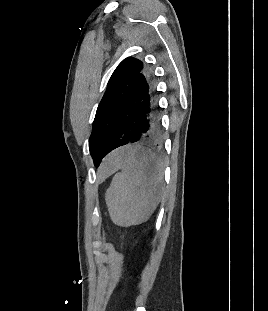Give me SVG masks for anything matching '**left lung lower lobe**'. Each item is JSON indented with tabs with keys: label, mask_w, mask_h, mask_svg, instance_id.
<instances>
[{
	"label": "left lung lower lobe",
	"mask_w": 268,
	"mask_h": 311,
	"mask_svg": "<svg viewBox=\"0 0 268 311\" xmlns=\"http://www.w3.org/2000/svg\"><path fill=\"white\" fill-rule=\"evenodd\" d=\"M122 116L124 124L122 122L111 137L104 157L125 144L162 141L155 79L147 66L139 73L130 93V102L124 107Z\"/></svg>",
	"instance_id": "left-lung-lower-lobe-1"
}]
</instances>
